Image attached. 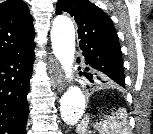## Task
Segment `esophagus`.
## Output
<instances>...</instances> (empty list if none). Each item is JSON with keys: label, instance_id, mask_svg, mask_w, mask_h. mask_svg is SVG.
Wrapping results in <instances>:
<instances>
[{"label": "esophagus", "instance_id": "34e87169", "mask_svg": "<svg viewBox=\"0 0 153 134\" xmlns=\"http://www.w3.org/2000/svg\"><path fill=\"white\" fill-rule=\"evenodd\" d=\"M49 66H50L49 72L53 86L57 88L58 91H63L65 88V84L62 80L59 63L57 62L56 59L51 57L49 61Z\"/></svg>", "mask_w": 153, "mask_h": 134}]
</instances>
